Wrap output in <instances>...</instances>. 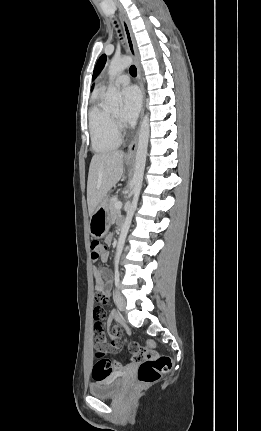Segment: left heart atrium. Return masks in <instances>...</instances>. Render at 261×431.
I'll return each mask as SVG.
<instances>
[{
	"mask_svg": "<svg viewBox=\"0 0 261 431\" xmlns=\"http://www.w3.org/2000/svg\"><path fill=\"white\" fill-rule=\"evenodd\" d=\"M123 108L121 119L126 124H131L137 118L141 107V96L135 86H127L122 90Z\"/></svg>",
	"mask_w": 261,
	"mask_h": 431,
	"instance_id": "1",
	"label": "left heart atrium"
}]
</instances>
